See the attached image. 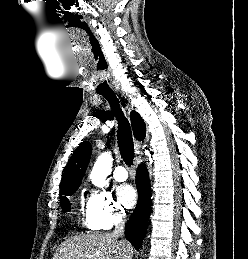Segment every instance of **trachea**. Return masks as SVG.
I'll return each instance as SVG.
<instances>
[{"label":"trachea","instance_id":"trachea-1","mask_svg":"<svg viewBox=\"0 0 248 259\" xmlns=\"http://www.w3.org/2000/svg\"><path fill=\"white\" fill-rule=\"evenodd\" d=\"M100 95H103V97L109 101L116 119L118 120L117 140L120 154L124 162L130 166L133 163L134 158V145L130 124L124 117V114L120 109L119 100L114 92H106Z\"/></svg>","mask_w":248,"mask_h":259}]
</instances>
